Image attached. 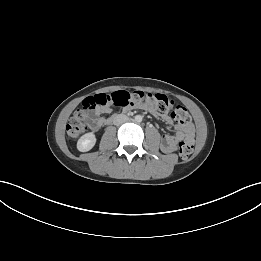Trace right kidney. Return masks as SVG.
<instances>
[{"instance_id":"right-kidney-1","label":"right kidney","mask_w":261,"mask_h":261,"mask_svg":"<svg viewBox=\"0 0 261 261\" xmlns=\"http://www.w3.org/2000/svg\"><path fill=\"white\" fill-rule=\"evenodd\" d=\"M95 143H96L95 134L89 132L79 138L77 142V149L81 152H87L94 147Z\"/></svg>"}]
</instances>
